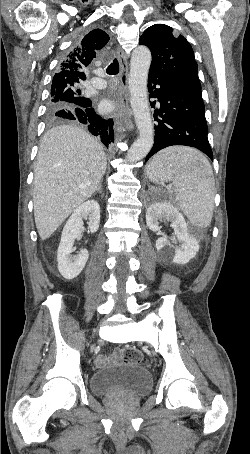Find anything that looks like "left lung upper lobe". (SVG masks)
Segmentation results:
<instances>
[{
  "label": "left lung upper lobe",
  "instance_id": "1",
  "mask_svg": "<svg viewBox=\"0 0 250 454\" xmlns=\"http://www.w3.org/2000/svg\"><path fill=\"white\" fill-rule=\"evenodd\" d=\"M152 54L149 74L164 80L190 85H200L198 66L189 42L164 24L148 27L140 37Z\"/></svg>",
  "mask_w": 250,
  "mask_h": 454
}]
</instances>
